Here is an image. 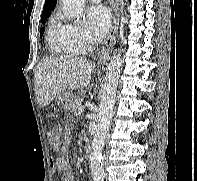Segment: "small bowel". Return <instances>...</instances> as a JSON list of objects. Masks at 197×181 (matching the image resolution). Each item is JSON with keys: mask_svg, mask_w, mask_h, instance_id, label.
I'll use <instances>...</instances> for the list:
<instances>
[{"mask_svg": "<svg viewBox=\"0 0 197 181\" xmlns=\"http://www.w3.org/2000/svg\"><path fill=\"white\" fill-rule=\"evenodd\" d=\"M67 147V142L64 145V150ZM54 170L61 174V181H74L75 175L69 168L68 162L64 157V151H62L54 161Z\"/></svg>", "mask_w": 197, "mask_h": 181, "instance_id": "small-bowel-1", "label": "small bowel"}]
</instances>
